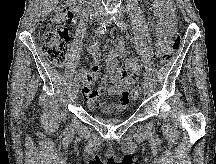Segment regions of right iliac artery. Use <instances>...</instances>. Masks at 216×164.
<instances>
[{
  "mask_svg": "<svg viewBox=\"0 0 216 164\" xmlns=\"http://www.w3.org/2000/svg\"><path fill=\"white\" fill-rule=\"evenodd\" d=\"M107 26H108V24H106V23L101 24V25L96 29V32H95L96 35H97V36L103 35V34L105 33V31H106ZM78 80H79V77H78V76H75V77H74V83L77 82Z\"/></svg>",
  "mask_w": 216,
  "mask_h": 164,
  "instance_id": "right-iliac-artery-1",
  "label": "right iliac artery"
}]
</instances>
